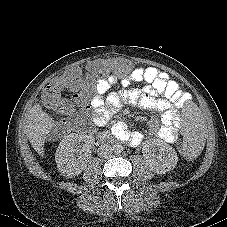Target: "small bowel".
Returning <instances> with one entry per match:
<instances>
[{
	"label": "small bowel",
	"instance_id": "1",
	"mask_svg": "<svg viewBox=\"0 0 227 227\" xmlns=\"http://www.w3.org/2000/svg\"><path fill=\"white\" fill-rule=\"evenodd\" d=\"M144 82L141 89H125L120 95L110 94V89L120 84L127 88L132 83ZM78 93L72 95L73 100L92 110V121L96 126H105L124 100L139 108L150 110L159 114L150 125V134L166 142L173 143L177 140L180 130V118L178 107L187 98L177 81L155 67H138L131 72L118 76L111 74L107 77L98 78L91 88L82 86ZM162 95V97H161ZM112 135L132 146L140 145L144 135L129 129L125 122H116L111 128Z\"/></svg>",
	"mask_w": 227,
	"mask_h": 227
}]
</instances>
